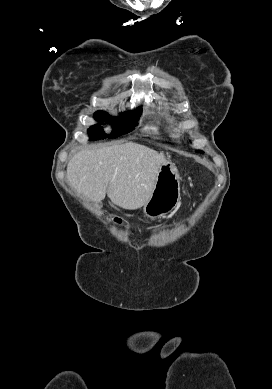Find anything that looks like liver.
Masks as SVG:
<instances>
[{"label":"liver","instance_id":"1","mask_svg":"<svg viewBox=\"0 0 272 389\" xmlns=\"http://www.w3.org/2000/svg\"><path fill=\"white\" fill-rule=\"evenodd\" d=\"M165 161L163 153L133 142L83 149L70 159L67 180L93 202L107 192L113 204L135 210L149 200Z\"/></svg>","mask_w":272,"mask_h":389}]
</instances>
